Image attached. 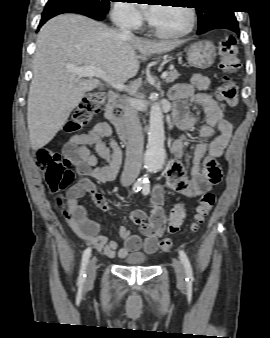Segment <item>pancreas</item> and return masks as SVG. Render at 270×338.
<instances>
[{"label": "pancreas", "mask_w": 270, "mask_h": 338, "mask_svg": "<svg viewBox=\"0 0 270 338\" xmlns=\"http://www.w3.org/2000/svg\"><path fill=\"white\" fill-rule=\"evenodd\" d=\"M180 74L176 70H172L168 73V76L166 77V82L167 83H172L174 82Z\"/></svg>", "instance_id": "obj_1"}]
</instances>
